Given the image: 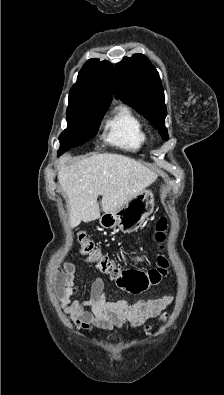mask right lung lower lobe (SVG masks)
Listing matches in <instances>:
<instances>
[{"mask_svg": "<svg viewBox=\"0 0 224 395\" xmlns=\"http://www.w3.org/2000/svg\"><path fill=\"white\" fill-rule=\"evenodd\" d=\"M63 152H65V151L61 150V149L58 150V154H62Z\"/></svg>", "mask_w": 224, "mask_h": 395, "instance_id": "right-lung-lower-lobe-1", "label": "right lung lower lobe"}]
</instances>
